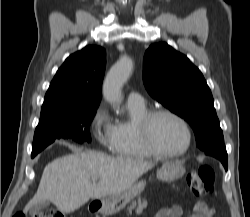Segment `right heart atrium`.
Here are the masks:
<instances>
[{
    "label": "right heart atrium",
    "mask_w": 250,
    "mask_h": 217,
    "mask_svg": "<svg viewBox=\"0 0 250 217\" xmlns=\"http://www.w3.org/2000/svg\"><path fill=\"white\" fill-rule=\"evenodd\" d=\"M89 129L95 140L101 146L112 149L114 141V124L104 105L98 106L94 111L90 119Z\"/></svg>",
    "instance_id": "obj_1"
}]
</instances>
